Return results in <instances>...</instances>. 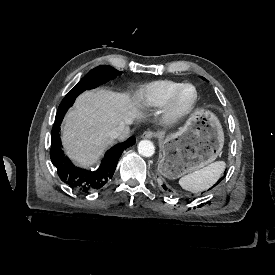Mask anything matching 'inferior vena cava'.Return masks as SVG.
<instances>
[{"instance_id":"inferior-vena-cava-1","label":"inferior vena cava","mask_w":275,"mask_h":275,"mask_svg":"<svg viewBox=\"0 0 275 275\" xmlns=\"http://www.w3.org/2000/svg\"><path fill=\"white\" fill-rule=\"evenodd\" d=\"M123 131H124V127L119 126L113 130L108 131L106 135L112 139H115V138H118Z\"/></svg>"}]
</instances>
